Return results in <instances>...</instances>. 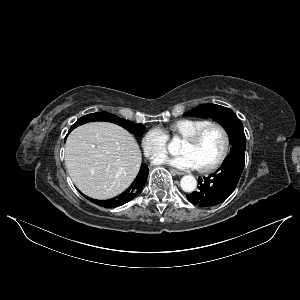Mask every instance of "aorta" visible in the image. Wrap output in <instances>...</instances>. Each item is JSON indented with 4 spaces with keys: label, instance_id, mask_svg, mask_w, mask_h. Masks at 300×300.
I'll use <instances>...</instances> for the list:
<instances>
[{
    "label": "aorta",
    "instance_id": "aorta-1",
    "mask_svg": "<svg viewBox=\"0 0 300 300\" xmlns=\"http://www.w3.org/2000/svg\"><path fill=\"white\" fill-rule=\"evenodd\" d=\"M174 146L178 145L177 139H174V142L172 143ZM180 186L183 191L185 192H193L197 187V181L194 176L192 175H185L182 177L180 181Z\"/></svg>",
    "mask_w": 300,
    "mask_h": 300
}]
</instances>
